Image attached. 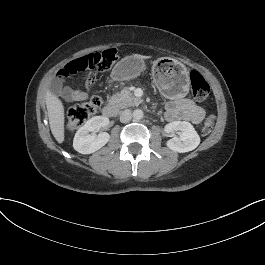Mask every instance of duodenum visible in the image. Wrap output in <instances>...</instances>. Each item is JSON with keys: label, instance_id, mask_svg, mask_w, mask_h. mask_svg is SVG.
Masks as SVG:
<instances>
[{"label": "duodenum", "instance_id": "410a0bca", "mask_svg": "<svg viewBox=\"0 0 265 265\" xmlns=\"http://www.w3.org/2000/svg\"><path fill=\"white\" fill-rule=\"evenodd\" d=\"M118 113V107L115 103L110 102L103 108V115L107 118L115 117Z\"/></svg>", "mask_w": 265, "mask_h": 265}]
</instances>
